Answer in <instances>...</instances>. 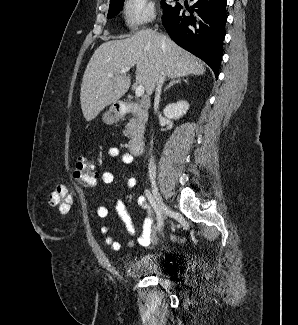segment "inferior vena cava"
Returning a JSON list of instances; mask_svg holds the SVG:
<instances>
[{"mask_svg": "<svg viewBox=\"0 0 298 325\" xmlns=\"http://www.w3.org/2000/svg\"><path fill=\"white\" fill-rule=\"evenodd\" d=\"M165 80V70H162V74L157 82L156 90H155V98H154V110L157 112L160 104V94L162 84ZM148 173L150 179H156V165L154 163V158L151 156L149 163H148Z\"/></svg>", "mask_w": 298, "mask_h": 325, "instance_id": "obj_1", "label": "inferior vena cava"}]
</instances>
